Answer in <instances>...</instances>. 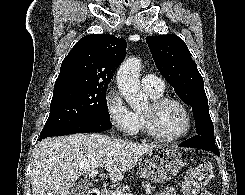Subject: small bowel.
<instances>
[{
    "instance_id": "small-bowel-1",
    "label": "small bowel",
    "mask_w": 245,
    "mask_h": 195,
    "mask_svg": "<svg viewBox=\"0 0 245 195\" xmlns=\"http://www.w3.org/2000/svg\"><path fill=\"white\" fill-rule=\"evenodd\" d=\"M155 195H176L175 190L171 187L165 188L163 191L155 194Z\"/></svg>"
}]
</instances>
